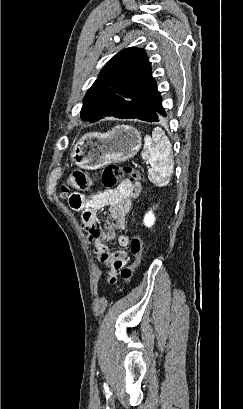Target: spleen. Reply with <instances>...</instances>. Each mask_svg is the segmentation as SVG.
<instances>
[{"label": "spleen", "mask_w": 243, "mask_h": 409, "mask_svg": "<svg viewBox=\"0 0 243 409\" xmlns=\"http://www.w3.org/2000/svg\"><path fill=\"white\" fill-rule=\"evenodd\" d=\"M171 150L170 140L160 127L153 130L152 137L146 135L144 138V150L141 154L151 165L148 179L156 186H165L170 181L174 169Z\"/></svg>", "instance_id": "spleen-1"}]
</instances>
